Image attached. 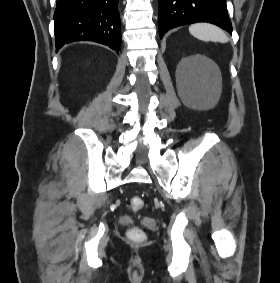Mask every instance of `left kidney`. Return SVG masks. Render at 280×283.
I'll return each mask as SVG.
<instances>
[{"instance_id": "left-kidney-1", "label": "left kidney", "mask_w": 280, "mask_h": 283, "mask_svg": "<svg viewBox=\"0 0 280 283\" xmlns=\"http://www.w3.org/2000/svg\"><path fill=\"white\" fill-rule=\"evenodd\" d=\"M196 59H205V58L202 56H196V57H191L189 59H186V61H195Z\"/></svg>"}]
</instances>
